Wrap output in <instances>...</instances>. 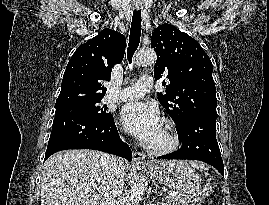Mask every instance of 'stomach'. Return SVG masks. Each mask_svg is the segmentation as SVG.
I'll return each mask as SVG.
<instances>
[{
  "label": "stomach",
  "instance_id": "stomach-1",
  "mask_svg": "<svg viewBox=\"0 0 269 205\" xmlns=\"http://www.w3.org/2000/svg\"><path fill=\"white\" fill-rule=\"evenodd\" d=\"M150 176L167 184L185 205L197 200L202 195V182L200 175L188 162L173 160L152 164L149 167Z\"/></svg>",
  "mask_w": 269,
  "mask_h": 205
}]
</instances>
